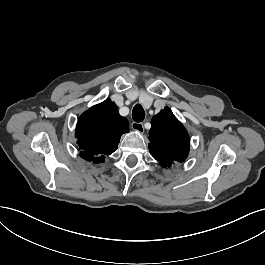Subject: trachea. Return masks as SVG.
Listing matches in <instances>:
<instances>
[{
    "label": "trachea",
    "mask_w": 265,
    "mask_h": 265,
    "mask_svg": "<svg viewBox=\"0 0 265 265\" xmlns=\"http://www.w3.org/2000/svg\"><path fill=\"white\" fill-rule=\"evenodd\" d=\"M132 118L135 122H142L145 118V111L139 104L135 105L132 111Z\"/></svg>",
    "instance_id": "1"
}]
</instances>
